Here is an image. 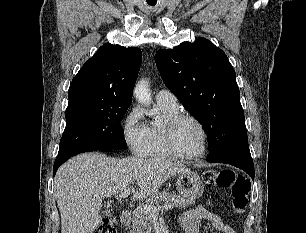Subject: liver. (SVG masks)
<instances>
[{
  "instance_id": "obj_1",
  "label": "liver",
  "mask_w": 306,
  "mask_h": 233,
  "mask_svg": "<svg viewBox=\"0 0 306 233\" xmlns=\"http://www.w3.org/2000/svg\"><path fill=\"white\" fill-rule=\"evenodd\" d=\"M188 169L152 158H110L98 152L77 155L57 171L54 188L61 214V233H93L102 222V198L136 181L134 197L153 195L170 177Z\"/></svg>"
}]
</instances>
